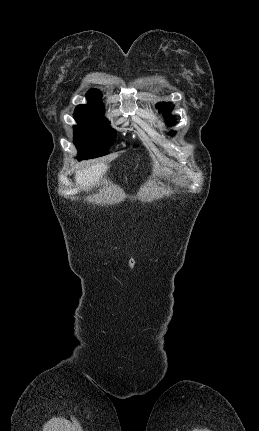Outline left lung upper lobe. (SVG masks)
Wrapping results in <instances>:
<instances>
[{
	"label": "left lung upper lobe",
	"mask_w": 259,
	"mask_h": 431,
	"mask_svg": "<svg viewBox=\"0 0 259 431\" xmlns=\"http://www.w3.org/2000/svg\"><path fill=\"white\" fill-rule=\"evenodd\" d=\"M171 105V103L169 102V103H164V102H162V103H159V104H157V108H158V110H159V112H166V113H169L171 110H172V106H170ZM168 123L169 124H172V120H169L168 121ZM170 134H174V132H171Z\"/></svg>",
	"instance_id": "obj_1"
}]
</instances>
